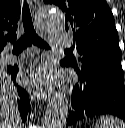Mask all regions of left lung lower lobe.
<instances>
[{"mask_svg": "<svg viewBox=\"0 0 125 128\" xmlns=\"http://www.w3.org/2000/svg\"><path fill=\"white\" fill-rule=\"evenodd\" d=\"M61 66L69 67L63 60ZM78 81L74 86L66 126L84 117L112 114L125 121L124 73L119 70H106L90 78L76 70Z\"/></svg>", "mask_w": 125, "mask_h": 128, "instance_id": "obj_1", "label": "left lung lower lobe"}]
</instances>
